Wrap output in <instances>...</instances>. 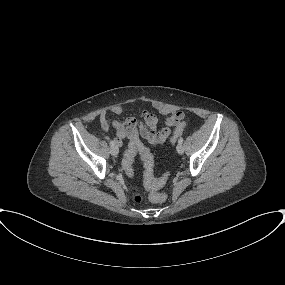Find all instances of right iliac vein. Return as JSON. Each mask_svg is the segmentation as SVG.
Listing matches in <instances>:
<instances>
[{
	"label": "right iliac vein",
	"mask_w": 285,
	"mask_h": 285,
	"mask_svg": "<svg viewBox=\"0 0 285 285\" xmlns=\"http://www.w3.org/2000/svg\"><path fill=\"white\" fill-rule=\"evenodd\" d=\"M110 153H111L113 156H117L118 153H119V148H118L117 146L111 147Z\"/></svg>",
	"instance_id": "1"
}]
</instances>
